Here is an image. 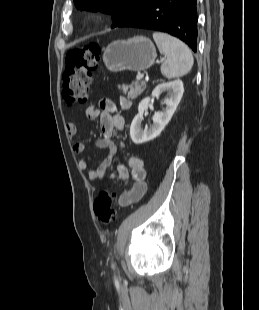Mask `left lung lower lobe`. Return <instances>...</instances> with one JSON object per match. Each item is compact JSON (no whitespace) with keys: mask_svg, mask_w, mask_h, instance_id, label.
<instances>
[{"mask_svg":"<svg viewBox=\"0 0 259 310\" xmlns=\"http://www.w3.org/2000/svg\"><path fill=\"white\" fill-rule=\"evenodd\" d=\"M115 27H137L169 33L196 52V0H152Z\"/></svg>","mask_w":259,"mask_h":310,"instance_id":"left-lung-lower-lobe-1","label":"left lung lower lobe"}]
</instances>
